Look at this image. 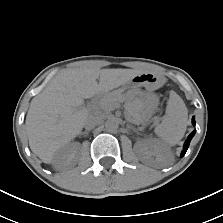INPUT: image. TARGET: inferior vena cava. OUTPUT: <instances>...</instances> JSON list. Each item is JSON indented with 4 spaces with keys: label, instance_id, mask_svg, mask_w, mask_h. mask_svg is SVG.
Wrapping results in <instances>:
<instances>
[{
    "label": "inferior vena cava",
    "instance_id": "602c4592",
    "mask_svg": "<svg viewBox=\"0 0 223 223\" xmlns=\"http://www.w3.org/2000/svg\"><path fill=\"white\" fill-rule=\"evenodd\" d=\"M100 123H101V119L99 117L90 115L86 119L84 126L87 130H90Z\"/></svg>",
    "mask_w": 223,
    "mask_h": 223
}]
</instances>
